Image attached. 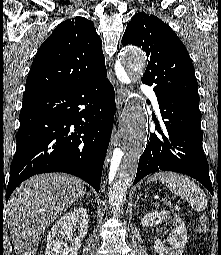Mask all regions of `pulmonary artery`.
Returning a JSON list of instances; mask_svg holds the SVG:
<instances>
[{
  "instance_id": "pulmonary-artery-1",
  "label": "pulmonary artery",
  "mask_w": 221,
  "mask_h": 255,
  "mask_svg": "<svg viewBox=\"0 0 221 255\" xmlns=\"http://www.w3.org/2000/svg\"><path fill=\"white\" fill-rule=\"evenodd\" d=\"M141 92L147 96H149L152 100V103L154 105V107L158 108V100L157 97L155 95V93L152 91V89L146 85V84H142L141 85Z\"/></svg>"
}]
</instances>
